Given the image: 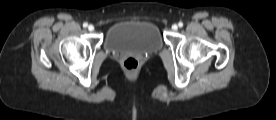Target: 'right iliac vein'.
<instances>
[{
	"label": "right iliac vein",
	"instance_id": "right-iliac-vein-1",
	"mask_svg": "<svg viewBox=\"0 0 276 120\" xmlns=\"http://www.w3.org/2000/svg\"><path fill=\"white\" fill-rule=\"evenodd\" d=\"M94 29H95V28H94L93 25H89V26H88V30H89L90 32L94 31Z\"/></svg>",
	"mask_w": 276,
	"mask_h": 120
}]
</instances>
